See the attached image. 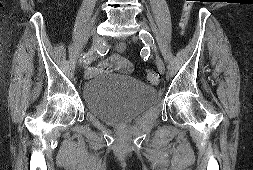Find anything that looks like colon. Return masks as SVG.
<instances>
[{"label": "colon", "instance_id": "1", "mask_svg": "<svg viewBox=\"0 0 253 170\" xmlns=\"http://www.w3.org/2000/svg\"><path fill=\"white\" fill-rule=\"evenodd\" d=\"M193 0H186L183 6L182 14H181V19H180V28L181 31L184 32V30L187 27L190 14L192 11V2ZM117 64H120V67H118ZM99 69L102 71H107V70H119L122 72H130L132 70V64L129 63L125 58L123 57H116V58H110L104 62H102L99 65ZM146 79L149 83L155 84L159 81V76L157 72L155 71H148L146 73Z\"/></svg>", "mask_w": 253, "mask_h": 170}]
</instances>
